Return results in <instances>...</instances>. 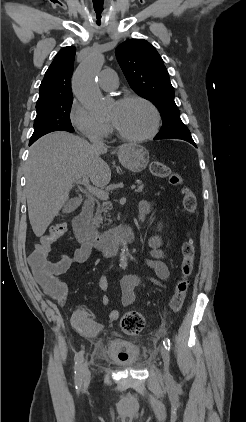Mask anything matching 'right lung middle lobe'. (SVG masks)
Instances as JSON below:
<instances>
[{"label": "right lung middle lobe", "instance_id": "1", "mask_svg": "<svg viewBox=\"0 0 246 422\" xmlns=\"http://www.w3.org/2000/svg\"><path fill=\"white\" fill-rule=\"evenodd\" d=\"M73 97L63 98L46 106L36 108L37 115L34 121V132L30 142L34 143L41 136L53 131L74 132L70 121V110Z\"/></svg>", "mask_w": 246, "mask_h": 422}]
</instances>
